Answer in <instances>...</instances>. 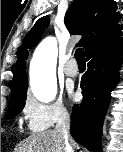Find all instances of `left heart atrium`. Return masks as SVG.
Instances as JSON below:
<instances>
[{
	"label": "left heart atrium",
	"instance_id": "left-heart-atrium-1",
	"mask_svg": "<svg viewBox=\"0 0 123 152\" xmlns=\"http://www.w3.org/2000/svg\"><path fill=\"white\" fill-rule=\"evenodd\" d=\"M71 95L73 96V97H76V94L71 90Z\"/></svg>",
	"mask_w": 123,
	"mask_h": 152
}]
</instances>
